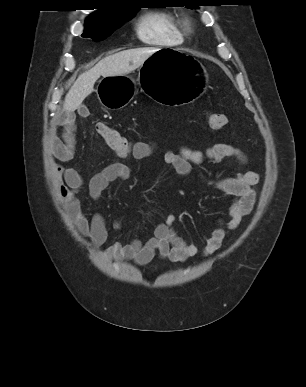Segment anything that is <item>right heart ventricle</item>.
Masks as SVG:
<instances>
[{
  "mask_svg": "<svg viewBox=\"0 0 306 387\" xmlns=\"http://www.w3.org/2000/svg\"><path fill=\"white\" fill-rule=\"evenodd\" d=\"M135 31L145 44L172 47L184 42L185 33L176 14L167 10H151L140 16Z\"/></svg>",
  "mask_w": 306,
  "mask_h": 387,
  "instance_id": "1",
  "label": "right heart ventricle"
}]
</instances>
